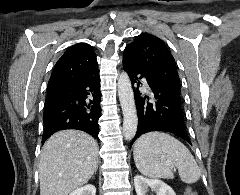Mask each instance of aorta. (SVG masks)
Instances as JSON below:
<instances>
[{
    "label": "aorta",
    "mask_w": 240,
    "mask_h": 195,
    "mask_svg": "<svg viewBox=\"0 0 240 195\" xmlns=\"http://www.w3.org/2000/svg\"><path fill=\"white\" fill-rule=\"evenodd\" d=\"M118 96L123 111L124 139H132L137 131L138 117L131 82L126 72L119 76Z\"/></svg>",
    "instance_id": "762f6f07"
}]
</instances>
